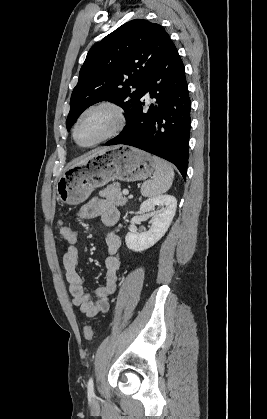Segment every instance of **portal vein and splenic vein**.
Segmentation results:
<instances>
[{
    "instance_id": "18ae733b",
    "label": "portal vein and splenic vein",
    "mask_w": 267,
    "mask_h": 419,
    "mask_svg": "<svg viewBox=\"0 0 267 419\" xmlns=\"http://www.w3.org/2000/svg\"><path fill=\"white\" fill-rule=\"evenodd\" d=\"M122 193H123L124 195H128V194H129V191H128L127 189H124V190L122 191Z\"/></svg>"
}]
</instances>
